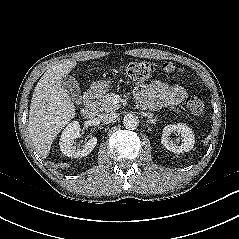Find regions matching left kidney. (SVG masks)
Here are the masks:
<instances>
[{
    "label": "left kidney",
    "instance_id": "1",
    "mask_svg": "<svg viewBox=\"0 0 239 239\" xmlns=\"http://www.w3.org/2000/svg\"><path fill=\"white\" fill-rule=\"evenodd\" d=\"M175 132L178 133L182 140L181 145L176 144L170 139L171 134ZM194 142V134L185 124L167 125L163 129L161 143L166 149L173 153L180 154L190 151L193 148Z\"/></svg>",
    "mask_w": 239,
    "mask_h": 239
}]
</instances>
